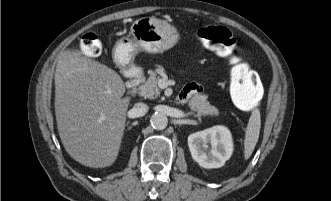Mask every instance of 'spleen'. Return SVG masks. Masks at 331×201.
I'll return each instance as SVG.
<instances>
[{
  "label": "spleen",
  "mask_w": 331,
  "mask_h": 201,
  "mask_svg": "<svg viewBox=\"0 0 331 201\" xmlns=\"http://www.w3.org/2000/svg\"><path fill=\"white\" fill-rule=\"evenodd\" d=\"M261 128V117L258 109H254L251 113L244 140V158L247 160L252 155V152L258 142Z\"/></svg>",
  "instance_id": "3e777b00"
}]
</instances>
